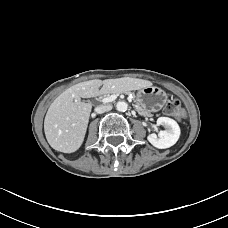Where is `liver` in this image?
Returning <instances> with one entry per match:
<instances>
[{
  "label": "liver",
  "mask_w": 228,
  "mask_h": 228,
  "mask_svg": "<svg viewBox=\"0 0 228 228\" xmlns=\"http://www.w3.org/2000/svg\"><path fill=\"white\" fill-rule=\"evenodd\" d=\"M151 85L150 81L143 79L117 78L94 79L69 87L52 102L46 113L44 132L49 145L63 153H73L81 147L92 110V104L82 102L81 98L138 90Z\"/></svg>",
  "instance_id": "liver-1"
}]
</instances>
